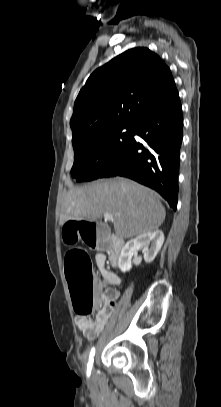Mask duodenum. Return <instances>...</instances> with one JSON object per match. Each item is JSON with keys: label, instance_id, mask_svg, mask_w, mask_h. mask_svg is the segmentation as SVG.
<instances>
[{"label": "duodenum", "instance_id": "410a0bca", "mask_svg": "<svg viewBox=\"0 0 221 407\" xmlns=\"http://www.w3.org/2000/svg\"><path fill=\"white\" fill-rule=\"evenodd\" d=\"M113 247L110 252L109 259L113 265H116L119 258L120 250L123 246V240L117 236H112Z\"/></svg>", "mask_w": 221, "mask_h": 407}]
</instances>
